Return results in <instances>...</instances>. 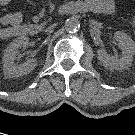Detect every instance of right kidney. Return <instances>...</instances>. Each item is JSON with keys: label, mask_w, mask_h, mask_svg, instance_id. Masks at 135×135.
Returning <instances> with one entry per match:
<instances>
[{"label": "right kidney", "mask_w": 135, "mask_h": 135, "mask_svg": "<svg viewBox=\"0 0 135 135\" xmlns=\"http://www.w3.org/2000/svg\"><path fill=\"white\" fill-rule=\"evenodd\" d=\"M29 39L27 37H19L13 42H11L7 48L4 50L3 56V70L4 74L9 77H20L27 75L37 65L36 59H29L26 62H23L20 65L14 63L15 57L20 48H25L28 46Z\"/></svg>", "instance_id": "obj_1"}]
</instances>
